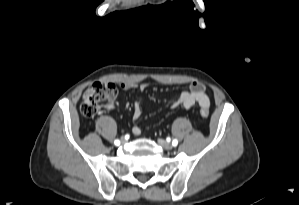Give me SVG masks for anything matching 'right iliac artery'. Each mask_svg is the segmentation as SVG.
Listing matches in <instances>:
<instances>
[{"mask_svg": "<svg viewBox=\"0 0 299 205\" xmlns=\"http://www.w3.org/2000/svg\"><path fill=\"white\" fill-rule=\"evenodd\" d=\"M114 144H115V145H119V144H120V141H119V140H115V141H114Z\"/></svg>", "mask_w": 299, "mask_h": 205, "instance_id": "obj_1", "label": "right iliac artery"}]
</instances>
